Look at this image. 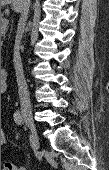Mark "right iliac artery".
Returning <instances> with one entry per match:
<instances>
[{
  "label": "right iliac artery",
  "instance_id": "obj_1",
  "mask_svg": "<svg viewBox=\"0 0 109 170\" xmlns=\"http://www.w3.org/2000/svg\"><path fill=\"white\" fill-rule=\"evenodd\" d=\"M14 121L18 125H24V122H23L22 115H21L20 111H16L14 113Z\"/></svg>",
  "mask_w": 109,
  "mask_h": 170
}]
</instances>
